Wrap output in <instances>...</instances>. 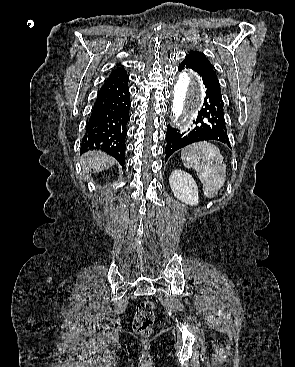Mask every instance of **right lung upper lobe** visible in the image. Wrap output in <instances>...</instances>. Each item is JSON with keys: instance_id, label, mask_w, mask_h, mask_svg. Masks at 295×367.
Masks as SVG:
<instances>
[{"instance_id": "right-lung-upper-lobe-1", "label": "right lung upper lobe", "mask_w": 295, "mask_h": 367, "mask_svg": "<svg viewBox=\"0 0 295 367\" xmlns=\"http://www.w3.org/2000/svg\"><path fill=\"white\" fill-rule=\"evenodd\" d=\"M124 78H127L126 71L123 68L119 67L109 75L107 80H119Z\"/></svg>"}]
</instances>
